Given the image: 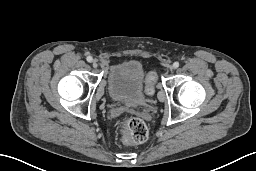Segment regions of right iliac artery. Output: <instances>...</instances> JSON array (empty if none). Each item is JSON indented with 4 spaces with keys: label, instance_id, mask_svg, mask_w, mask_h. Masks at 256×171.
Segmentation results:
<instances>
[{
    "label": "right iliac artery",
    "instance_id": "right-iliac-artery-1",
    "mask_svg": "<svg viewBox=\"0 0 256 171\" xmlns=\"http://www.w3.org/2000/svg\"><path fill=\"white\" fill-rule=\"evenodd\" d=\"M87 61H88V62H92V61H93V58H92L91 56H88V57H87Z\"/></svg>",
    "mask_w": 256,
    "mask_h": 171
}]
</instances>
